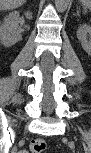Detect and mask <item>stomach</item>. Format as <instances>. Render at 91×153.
Segmentation results:
<instances>
[{
    "label": "stomach",
    "instance_id": "0dacf381",
    "mask_svg": "<svg viewBox=\"0 0 91 153\" xmlns=\"http://www.w3.org/2000/svg\"><path fill=\"white\" fill-rule=\"evenodd\" d=\"M83 3H84L85 5H90V1H89V0L83 1Z\"/></svg>",
    "mask_w": 91,
    "mask_h": 153
}]
</instances>
